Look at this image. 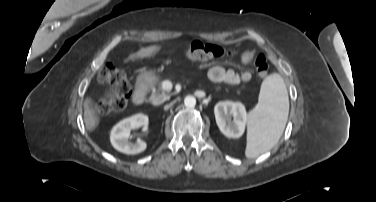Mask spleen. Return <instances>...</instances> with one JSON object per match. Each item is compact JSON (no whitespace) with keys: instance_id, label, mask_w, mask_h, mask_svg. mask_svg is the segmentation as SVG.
I'll return each mask as SVG.
<instances>
[{"instance_id":"obj_1","label":"spleen","mask_w":376,"mask_h":202,"mask_svg":"<svg viewBox=\"0 0 376 202\" xmlns=\"http://www.w3.org/2000/svg\"><path fill=\"white\" fill-rule=\"evenodd\" d=\"M289 113V99L283 78L278 73L262 82L258 104L249 112L245 155L255 158L271 149L280 139Z\"/></svg>"}]
</instances>
